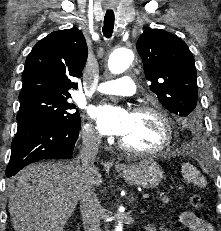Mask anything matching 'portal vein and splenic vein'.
<instances>
[{
  "instance_id": "obj_1",
  "label": "portal vein and splenic vein",
  "mask_w": 221,
  "mask_h": 231,
  "mask_svg": "<svg viewBox=\"0 0 221 231\" xmlns=\"http://www.w3.org/2000/svg\"><path fill=\"white\" fill-rule=\"evenodd\" d=\"M149 197H150V194H143V195H142V198H143V199H147V198H149Z\"/></svg>"
}]
</instances>
